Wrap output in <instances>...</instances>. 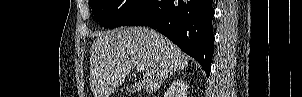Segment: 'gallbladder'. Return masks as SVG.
<instances>
[{
    "instance_id": "1",
    "label": "gallbladder",
    "mask_w": 302,
    "mask_h": 97,
    "mask_svg": "<svg viewBox=\"0 0 302 97\" xmlns=\"http://www.w3.org/2000/svg\"><path fill=\"white\" fill-rule=\"evenodd\" d=\"M136 90H137V88L127 87V91H128V92H134V91H136Z\"/></svg>"
}]
</instances>
